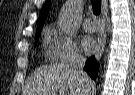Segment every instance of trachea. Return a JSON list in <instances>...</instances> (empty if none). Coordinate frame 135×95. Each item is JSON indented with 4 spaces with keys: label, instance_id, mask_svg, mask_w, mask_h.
Instances as JSON below:
<instances>
[{
    "label": "trachea",
    "instance_id": "1",
    "mask_svg": "<svg viewBox=\"0 0 135 95\" xmlns=\"http://www.w3.org/2000/svg\"><path fill=\"white\" fill-rule=\"evenodd\" d=\"M93 12L95 15H99L101 11V0H91Z\"/></svg>",
    "mask_w": 135,
    "mask_h": 95
}]
</instances>
